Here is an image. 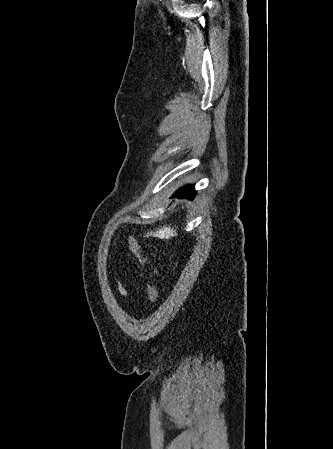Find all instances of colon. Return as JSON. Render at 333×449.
<instances>
[{
    "label": "colon",
    "mask_w": 333,
    "mask_h": 449,
    "mask_svg": "<svg viewBox=\"0 0 333 449\" xmlns=\"http://www.w3.org/2000/svg\"><path fill=\"white\" fill-rule=\"evenodd\" d=\"M128 247L130 251L138 258L140 263L143 266L148 267L150 274H154L156 272L154 267L149 266V258L145 254V251L138 240L130 236L128 238ZM147 296L151 303L156 302L159 298L158 288L153 282H149L147 285Z\"/></svg>",
    "instance_id": "1"
}]
</instances>
